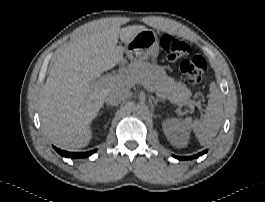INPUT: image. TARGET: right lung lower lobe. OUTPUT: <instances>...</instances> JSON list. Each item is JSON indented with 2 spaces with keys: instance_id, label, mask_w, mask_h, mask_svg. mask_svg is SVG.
<instances>
[{
  "instance_id": "98d812e1",
  "label": "right lung lower lobe",
  "mask_w": 265,
  "mask_h": 202,
  "mask_svg": "<svg viewBox=\"0 0 265 202\" xmlns=\"http://www.w3.org/2000/svg\"><path fill=\"white\" fill-rule=\"evenodd\" d=\"M54 149L62 156L64 157H68V158H82V157H88L90 155H92L94 152H96V150H92L90 152H85V153H74V152H66V151H63V150H60L56 147H54Z\"/></svg>"
}]
</instances>
